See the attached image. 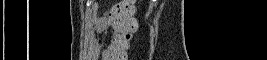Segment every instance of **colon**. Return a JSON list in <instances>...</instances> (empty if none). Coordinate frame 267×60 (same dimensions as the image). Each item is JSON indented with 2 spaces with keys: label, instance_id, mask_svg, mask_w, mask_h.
<instances>
[{
  "label": "colon",
  "instance_id": "obj_1",
  "mask_svg": "<svg viewBox=\"0 0 267 60\" xmlns=\"http://www.w3.org/2000/svg\"><path fill=\"white\" fill-rule=\"evenodd\" d=\"M136 3L124 0L114 9L110 24L114 27L110 45L104 49L103 58L106 60H128L132 36L137 30L135 18Z\"/></svg>",
  "mask_w": 267,
  "mask_h": 60
}]
</instances>
